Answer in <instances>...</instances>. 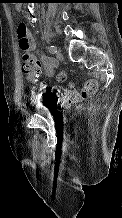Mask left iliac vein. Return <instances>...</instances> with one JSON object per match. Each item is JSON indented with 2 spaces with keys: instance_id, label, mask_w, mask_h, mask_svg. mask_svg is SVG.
Masks as SVG:
<instances>
[{
  "instance_id": "obj_1",
  "label": "left iliac vein",
  "mask_w": 122,
  "mask_h": 218,
  "mask_svg": "<svg viewBox=\"0 0 122 218\" xmlns=\"http://www.w3.org/2000/svg\"><path fill=\"white\" fill-rule=\"evenodd\" d=\"M56 57L61 61L63 60V54L61 53V51L56 50Z\"/></svg>"
}]
</instances>
